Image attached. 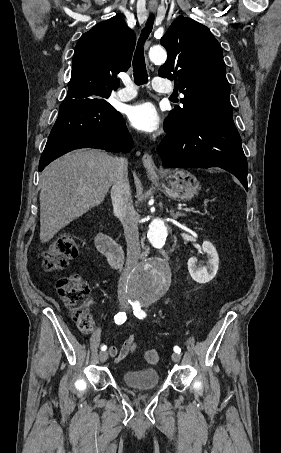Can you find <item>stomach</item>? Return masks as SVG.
Masks as SVG:
<instances>
[{"label":"stomach","instance_id":"1","mask_svg":"<svg viewBox=\"0 0 281 453\" xmlns=\"http://www.w3.org/2000/svg\"><path fill=\"white\" fill-rule=\"evenodd\" d=\"M149 178L154 180L160 190L174 200H191L200 190L199 180L196 176L183 168H175V170L167 168Z\"/></svg>","mask_w":281,"mask_h":453}]
</instances>
